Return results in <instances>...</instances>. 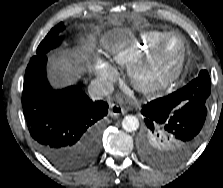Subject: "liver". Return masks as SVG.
Returning a JSON list of instances; mask_svg holds the SVG:
<instances>
[{
	"label": "liver",
	"mask_w": 223,
	"mask_h": 188,
	"mask_svg": "<svg viewBox=\"0 0 223 188\" xmlns=\"http://www.w3.org/2000/svg\"><path fill=\"white\" fill-rule=\"evenodd\" d=\"M94 46V38L89 37L86 42L77 51L70 54L61 53L58 56L50 57L51 78L56 86H65L71 84L83 71L80 63H88L89 55Z\"/></svg>",
	"instance_id": "liver-1"
}]
</instances>
